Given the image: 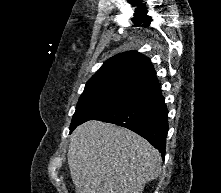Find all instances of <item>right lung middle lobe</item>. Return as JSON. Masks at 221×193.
Listing matches in <instances>:
<instances>
[{"label":"right lung middle lobe","mask_w":221,"mask_h":193,"mask_svg":"<svg viewBox=\"0 0 221 193\" xmlns=\"http://www.w3.org/2000/svg\"><path fill=\"white\" fill-rule=\"evenodd\" d=\"M144 87L114 83L85 89L73 115L70 132L81 123L115 109L137 96Z\"/></svg>","instance_id":"1"}]
</instances>
